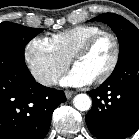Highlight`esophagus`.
<instances>
[{"mask_svg": "<svg viewBox=\"0 0 139 139\" xmlns=\"http://www.w3.org/2000/svg\"><path fill=\"white\" fill-rule=\"evenodd\" d=\"M73 95H74L73 91H70V90L65 91V96H66L67 99L72 98Z\"/></svg>", "mask_w": 139, "mask_h": 139, "instance_id": "1", "label": "esophagus"}]
</instances>
